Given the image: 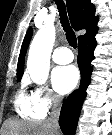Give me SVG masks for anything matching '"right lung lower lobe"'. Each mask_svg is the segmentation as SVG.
<instances>
[{"label":"right lung lower lobe","mask_w":112,"mask_h":135,"mask_svg":"<svg viewBox=\"0 0 112 135\" xmlns=\"http://www.w3.org/2000/svg\"><path fill=\"white\" fill-rule=\"evenodd\" d=\"M95 35L78 43V66L81 72V84L79 89L71 93L64 101L61 108L59 125L65 135H74L75 133L80 110L86 97V89L91 81L92 61L95 58L93 53L97 46Z\"/></svg>","instance_id":"right-lung-lower-lobe-1"}]
</instances>
